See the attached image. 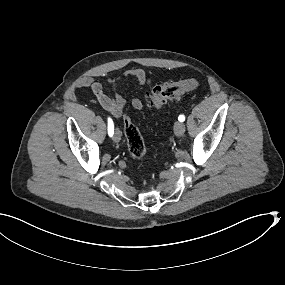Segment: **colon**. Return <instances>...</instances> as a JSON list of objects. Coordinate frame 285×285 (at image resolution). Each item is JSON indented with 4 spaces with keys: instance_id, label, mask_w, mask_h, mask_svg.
Segmentation results:
<instances>
[{
    "instance_id": "5ec220e1",
    "label": "colon",
    "mask_w": 285,
    "mask_h": 285,
    "mask_svg": "<svg viewBox=\"0 0 285 285\" xmlns=\"http://www.w3.org/2000/svg\"><path fill=\"white\" fill-rule=\"evenodd\" d=\"M198 86L199 81L195 78H188L176 82H168L156 85L150 92L149 105L153 108L160 109L169 101L178 99L184 93L192 91ZM123 122L124 134L131 155L135 158H143L146 155L147 148L141 132L131 121L129 116L125 115Z\"/></svg>"
}]
</instances>
